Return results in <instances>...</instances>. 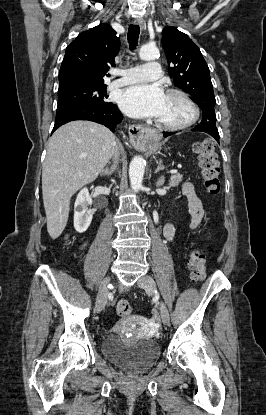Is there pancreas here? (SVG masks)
<instances>
[{"label": "pancreas", "mask_w": 266, "mask_h": 415, "mask_svg": "<svg viewBox=\"0 0 266 415\" xmlns=\"http://www.w3.org/2000/svg\"><path fill=\"white\" fill-rule=\"evenodd\" d=\"M182 179H183V175H181L179 173L173 174L170 178L169 185L170 186H176L182 181Z\"/></svg>", "instance_id": "obj_1"}]
</instances>
